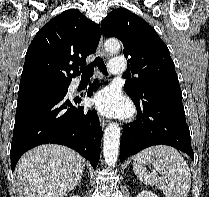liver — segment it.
Returning <instances> with one entry per match:
<instances>
[{"mask_svg":"<svg viewBox=\"0 0 209 197\" xmlns=\"http://www.w3.org/2000/svg\"><path fill=\"white\" fill-rule=\"evenodd\" d=\"M84 166L81 155L62 145L29 150L16 167L19 197H64L81 179Z\"/></svg>","mask_w":209,"mask_h":197,"instance_id":"obj_1","label":"liver"}]
</instances>
